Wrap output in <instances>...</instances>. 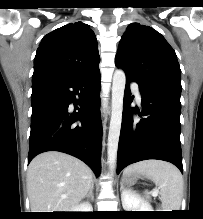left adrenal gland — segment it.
I'll use <instances>...</instances> for the list:
<instances>
[{"mask_svg": "<svg viewBox=\"0 0 203 219\" xmlns=\"http://www.w3.org/2000/svg\"><path fill=\"white\" fill-rule=\"evenodd\" d=\"M120 184H121L120 190H123V189H124V183H123V181H122Z\"/></svg>", "mask_w": 203, "mask_h": 219, "instance_id": "obj_1", "label": "left adrenal gland"}]
</instances>
